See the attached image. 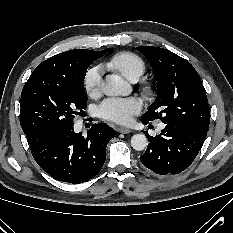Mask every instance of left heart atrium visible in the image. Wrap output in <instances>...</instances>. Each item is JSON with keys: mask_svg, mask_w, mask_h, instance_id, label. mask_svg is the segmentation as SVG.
I'll list each match as a JSON object with an SVG mask.
<instances>
[{"mask_svg": "<svg viewBox=\"0 0 233 233\" xmlns=\"http://www.w3.org/2000/svg\"><path fill=\"white\" fill-rule=\"evenodd\" d=\"M141 109L142 102L138 98H108L100 104L98 111L104 119L119 124H128Z\"/></svg>", "mask_w": 233, "mask_h": 233, "instance_id": "obj_1", "label": "left heart atrium"}]
</instances>
